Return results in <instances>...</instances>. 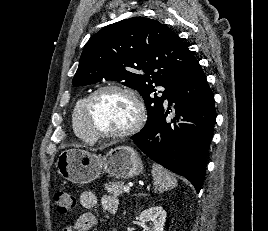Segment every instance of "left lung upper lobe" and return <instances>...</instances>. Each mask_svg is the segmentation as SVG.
I'll return each mask as SVG.
<instances>
[{
    "mask_svg": "<svg viewBox=\"0 0 268 231\" xmlns=\"http://www.w3.org/2000/svg\"><path fill=\"white\" fill-rule=\"evenodd\" d=\"M181 38L161 22L133 17L108 25L97 32L85 45L74 86L106 80L124 81L143 97L149 128L164 109L170 87L189 72L196 62ZM154 86L166 90L161 97Z\"/></svg>",
    "mask_w": 268,
    "mask_h": 231,
    "instance_id": "5c2ea615",
    "label": "left lung upper lobe"
}]
</instances>
